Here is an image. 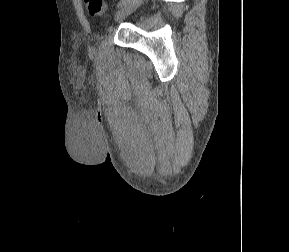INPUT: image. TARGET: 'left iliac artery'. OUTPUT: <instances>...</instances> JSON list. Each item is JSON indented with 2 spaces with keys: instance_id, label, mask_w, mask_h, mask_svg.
Returning a JSON list of instances; mask_svg holds the SVG:
<instances>
[{
  "instance_id": "left-iliac-artery-1",
  "label": "left iliac artery",
  "mask_w": 289,
  "mask_h": 252,
  "mask_svg": "<svg viewBox=\"0 0 289 252\" xmlns=\"http://www.w3.org/2000/svg\"><path fill=\"white\" fill-rule=\"evenodd\" d=\"M129 0H120V2L117 4V7H122L125 5Z\"/></svg>"
}]
</instances>
